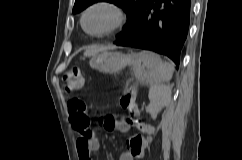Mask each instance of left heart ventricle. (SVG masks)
Segmentation results:
<instances>
[{
    "label": "left heart ventricle",
    "mask_w": 242,
    "mask_h": 160,
    "mask_svg": "<svg viewBox=\"0 0 242 160\" xmlns=\"http://www.w3.org/2000/svg\"><path fill=\"white\" fill-rule=\"evenodd\" d=\"M115 21V13L105 7L91 10L85 19V26L89 32L99 33L111 26Z\"/></svg>",
    "instance_id": "b2bd125f"
}]
</instances>
